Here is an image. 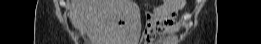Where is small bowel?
<instances>
[{"label": "small bowel", "mask_w": 261, "mask_h": 44, "mask_svg": "<svg viewBox=\"0 0 261 44\" xmlns=\"http://www.w3.org/2000/svg\"><path fill=\"white\" fill-rule=\"evenodd\" d=\"M181 6L163 4L155 9V14L148 24V34L171 32L176 24L177 14Z\"/></svg>", "instance_id": "obj_1"}]
</instances>
